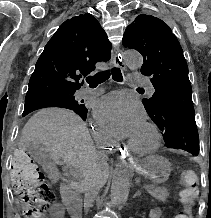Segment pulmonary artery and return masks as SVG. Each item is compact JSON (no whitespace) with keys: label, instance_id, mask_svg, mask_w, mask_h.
<instances>
[{"label":"pulmonary artery","instance_id":"e3ab8cb5","mask_svg":"<svg viewBox=\"0 0 211 218\" xmlns=\"http://www.w3.org/2000/svg\"><path fill=\"white\" fill-rule=\"evenodd\" d=\"M128 79L132 80H127L126 84L127 85H143V89H146L148 91L149 95H156L157 91L156 89V84H150V80H146L147 76L142 75V74H128L127 75ZM104 88L103 87H95V88H82L78 92V97L80 99H88V98H93L96 96L101 95L104 93Z\"/></svg>","mask_w":211,"mask_h":218}]
</instances>
